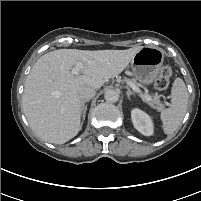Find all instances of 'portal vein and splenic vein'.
Listing matches in <instances>:
<instances>
[{"instance_id":"portal-vein-and-splenic-vein-1","label":"portal vein and splenic vein","mask_w":201,"mask_h":201,"mask_svg":"<svg viewBox=\"0 0 201 201\" xmlns=\"http://www.w3.org/2000/svg\"><path fill=\"white\" fill-rule=\"evenodd\" d=\"M82 68H83V63H81V62H76V63H75V66H74V67L72 68V70H71V74H72V75H77V74H79V72L81 71ZM126 83H127L130 87H133L128 81H127ZM134 90H135L136 92L140 93L141 97H142L144 100L149 101V100L152 99L151 96H149V95H147V94L141 93L140 89L134 88Z\"/></svg>"}]
</instances>
